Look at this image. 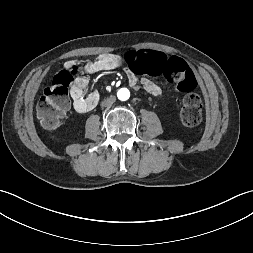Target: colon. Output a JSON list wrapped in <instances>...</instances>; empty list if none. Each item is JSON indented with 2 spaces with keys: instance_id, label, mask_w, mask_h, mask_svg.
<instances>
[{
  "instance_id": "1",
  "label": "colon",
  "mask_w": 253,
  "mask_h": 253,
  "mask_svg": "<svg viewBox=\"0 0 253 253\" xmlns=\"http://www.w3.org/2000/svg\"><path fill=\"white\" fill-rule=\"evenodd\" d=\"M127 64L135 73L157 79H168L179 90L185 92L180 111V120L184 126L193 127L202 118V100L194 91L197 82L195 76L182 58L154 51H135L127 59ZM77 66L58 72L45 88L36 106L37 117L46 128H55L67 112L70 100L69 89L78 75Z\"/></svg>"
}]
</instances>
